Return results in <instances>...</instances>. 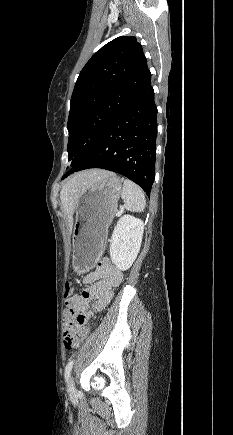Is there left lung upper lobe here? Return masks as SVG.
<instances>
[{
  "label": "left lung upper lobe",
  "mask_w": 233,
  "mask_h": 435,
  "mask_svg": "<svg viewBox=\"0 0 233 435\" xmlns=\"http://www.w3.org/2000/svg\"><path fill=\"white\" fill-rule=\"evenodd\" d=\"M150 81L146 57L135 37H118L90 58L71 97L67 124L71 166L89 155Z\"/></svg>",
  "instance_id": "left-lung-upper-lobe-1"
}]
</instances>
